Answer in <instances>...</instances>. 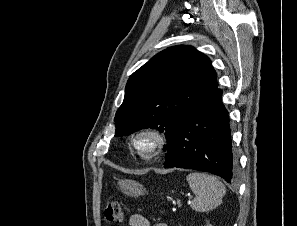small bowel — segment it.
Returning a JSON list of instances; mask_svg holds the SVG:
<instances>
[{
  "label": "small bowel",
  "mask_w": 297,
  "mask_h": 226,
  "mask_svg": "<svg viewBox=\"0 0 297 226\" xmlns=\"http://www.w3.org/2000/svg\"><path fill=\"white\" fill-rule=\"evenodd\" d=\"M129 226H151L149 220L141 214H133L129 218ZM155 226H167L164 223H158Z\"/></svg>",
  "instance_id": "1"
}]
</instances>
